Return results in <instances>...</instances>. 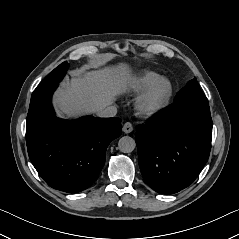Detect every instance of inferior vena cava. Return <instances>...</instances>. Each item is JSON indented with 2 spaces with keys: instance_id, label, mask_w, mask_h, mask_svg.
Returning a JSON list of instances; mask_svg holds the SVG:
<instances>
[{
  "instance_id": "inferior-vena-cava-1",
  "label": "inferior vena cava",
  "mask_w": 239,
  "mask_h": 239,
  "mask_svg": "<svg viewBox=\"0 0 239 239\" xmlns=\"http://www.w3.org/2000/svg\"><path fill=\"white\" fill-rule=\"evenodd\" d=\"M117 113L116 106H108L97 112L99 117H114Z\"/></svg>"
}]
</instances>
